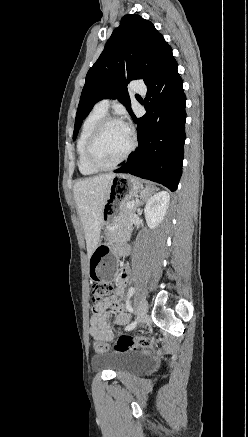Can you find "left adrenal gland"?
I'll list each match as a JSON object with an SVG mask.
<instances>
[{
    "mask_svg": "<svg viewBox=\"0 0 248 437\" xmlns=\"http://www.w3.org/2000/svg\"><path fill=\"white\" fill-rule=\"evenodd\" d=\"M153 190H155V188H153L152 191H153ZM156 190H157V189H156ZM142 204H143L142 202H139L137 206L139 207V206H141Z\"/></svg>",
    "mask_w": 248,
    "mask_h": 437,
    "instance_id": "obj_1",
    "label": "left adrenal gland"
}]
</instances>
